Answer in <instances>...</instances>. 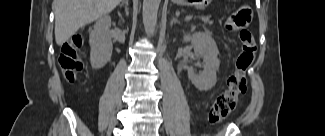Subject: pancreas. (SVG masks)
<instances>
[{
  "label": "pancreas",
  "instance_id": "obj_1",
  "mask_svg": "<svg viewBox=\"0 0 325 136\" xmlns=\"http://www.w3.org/2000/svg\"><path fill=\"white\" fill-rule=\"evenodd\" d=\"M210 12H197L196 13V18L201 19V23L205 24L207 23V19H210Z\"/></svg>",
  "mask_w": 325,
  "mask_h": 136
}]
</instances>
